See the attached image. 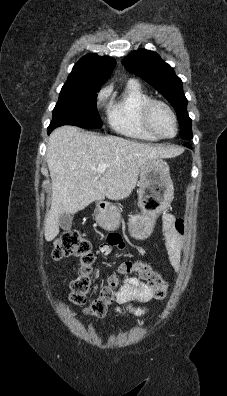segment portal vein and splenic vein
<instances>
[{
  "label": "portal vein and splenic vein",
  "mask_w": 227,
  "mask_h": 396,
  "mask_svg": "<svg viewBox=\"0 0 227 396\" xmlns=\"http://www.w3.org/2000/svg\"><path fill=\"white\" fill-rule=\"evenodd\" d=\"M109 165L108 164H105V163H100L99 165H98V172H100V173H102L105 169H106V167H108Z\"/></svg>",
  "instance_id": "1"
}]
</instances>
